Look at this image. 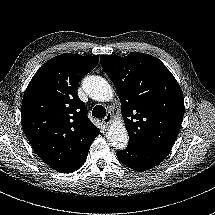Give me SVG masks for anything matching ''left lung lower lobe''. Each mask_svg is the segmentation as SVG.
Segmentation results:
<instances>
[{
	"label": "left lung lower lobe",
	"mask_w": 215,
	"mask_h": 215,
	"mask_svg": "<svg viewBox=\"0 0 215 215\" xmlns=\"http://www.w3.org/2000/svg\"><path fill=\"white\" fill-rule=\"evenodd\" d=\"M172 146H136L128 145L125 150L117 152L118 159L126 166L143 171L161 163L169 154Z\"/></svg>",
	"instance_id": "obj_1"
}]
</instances>
